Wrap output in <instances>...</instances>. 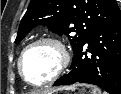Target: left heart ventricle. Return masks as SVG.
Returning <instances> with one entry per match:
<instances>
[{
  "instance_id": "b2bd125f",
  "label": "left heart ventricle",
  "mask_w": 121,
  "mask_h": 94,
  "mask_svg": "<svg viewBox=\"0 0 121 94\" xmlns=\"http://www.w3.org/2000/svg\"><path fill=\"white\" fill-rule=\"evenodd\" d=\"M57 62L58 54L55 48L43 44L26 53L22 62V69L29 81L40 83L53 74Z\"/></svg>"
}]
</instances>
